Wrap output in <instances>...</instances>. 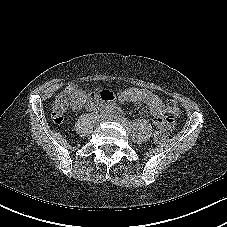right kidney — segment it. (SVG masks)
I'll return each instance as SVG.
<instances>
[{
    "instance_id": "right-kidney-1",
    "label": "right kidney",
    "mask_w": 227,
    "mask_h": 227,
    "mask_svg": "<svg viewBox=\"0 0 227 227\" xmlns=\"http://www.w3.org/2000/svg\"><path fill=\"white\" fill-rule=\"evenodd\" d=\"M75 103H77V101H76V100L74 101V104H75Z\"/></svg>"
}]
</instances>
